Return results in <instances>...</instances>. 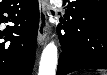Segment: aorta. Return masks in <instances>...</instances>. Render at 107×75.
<instances>
[{"instance_id":"1","label":"aorta","mask_w":107,"mask_h":75,"mask_svg":"<svg viewBox=\"0 0 107 75\" xmlns=\"http://www.w3.org/2000/svg\"><path fill=\"white\" fill-rule=\"evenodd\" d=\"M58 50L54 42L49 43L42 52L38 75H55Z\"/></svg>"}]
</instances>
